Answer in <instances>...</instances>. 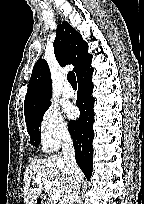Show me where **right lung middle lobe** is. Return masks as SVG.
Wrapping results in <instances>:
<instances>
[{
    "label": "right lung middle lobe",
    "mask_w": 144,
    "mask_h": 204,
    "mask_svg": "<svg viewBox=\"0 0 144 204\" xmlns=\"http://www.w3.org/2000/svg\"><path fill=\"white\" fill-rule=\"evenodd\" d=\"M50 106V103L40 108L37 112H35L32 116L25 119L27 125V131L30 135V143L31 145L38 146L41 139L40 132V122L42 120L43 114Z\"/></svg>",
    "instance_id": "obj_1"
}]
</instances>
